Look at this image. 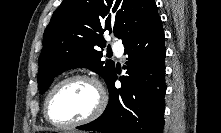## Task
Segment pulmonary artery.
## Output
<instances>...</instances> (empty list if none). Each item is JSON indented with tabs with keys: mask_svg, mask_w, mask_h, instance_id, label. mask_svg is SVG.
I'll use <instances>...</instances> for the list:
<instances>
[{
	"mask_svg": "<svg viewBox=\"0 0 221 133\" xmlns=\"http://www.w3.org/2000/svg\"><path fill=\"white\" fill-rule=\"evenodd\" d=\"M112 49L117 54V56L121 57L123 55L124 48L121 43L118 42L114 43L112 45Z\"/></svg>",
	"mask_w": 221,
	"mask_h": 133,
	"instance_id": "e3ab8cb5",
	"label": "pulmonary artery"
}]
</instances>
